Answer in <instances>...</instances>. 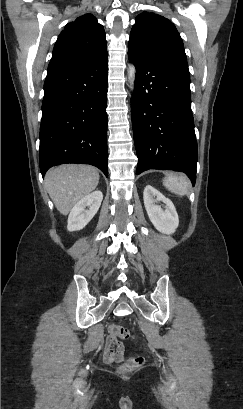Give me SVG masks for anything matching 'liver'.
I'll list each match as a JSON object with an SVG mask.
<instances>
[{
  "mask_svg": "<svg viewBox=\"0 0 243 409\" xmlns=\"http://www.w3.org/2000/svg\"><path fill=\"white\" fill-rule=\"evenodd\" d=\"M99 183L98 170L90 165L66 164L50 169L45 187L57 210L66 215Z\"/></svg>",
  "mask_w": 243,
  "mask_h": 409,
  "instance_id": "1",
  "label": "liver"
}]
</instances>
